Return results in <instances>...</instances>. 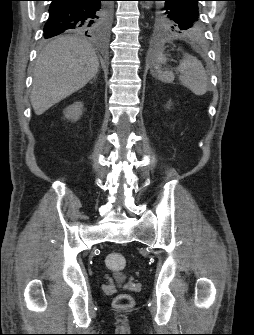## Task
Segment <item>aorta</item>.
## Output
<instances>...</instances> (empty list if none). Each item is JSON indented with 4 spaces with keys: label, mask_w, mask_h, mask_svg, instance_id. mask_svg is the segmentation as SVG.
<instances>
[{
    "label": "aorta",
    "mask_w": 254,
    "mask_h": 335,
    "mask_svg": "<svg viewBox=\"0 0 254 335\" xmlns=\"http://www.w3.org/2000/svg\"><path fill=\"white\" fill-rule=\"evenodd\" d=\"M150 7H151L150 4H147V5L145 6L146 9H149Z\"/></svg>",
    "instance_id": "obj_1"
}]
</instances>
